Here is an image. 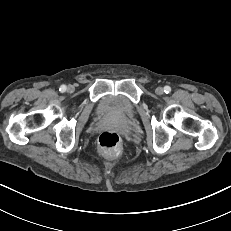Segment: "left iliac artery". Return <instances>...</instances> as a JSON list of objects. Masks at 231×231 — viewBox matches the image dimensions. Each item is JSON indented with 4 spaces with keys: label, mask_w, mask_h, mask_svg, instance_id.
Masks as SVG:
<instances>
[{
    "label": "left iliac artery",
    "mask_w": 231,
    "mask_h": 231,
    "mask_svg": "<svg viewBox=\"0 0 231 231\" xmlns=\"http://www.w3.org/2000/svg\"><path fill=\"white\" fill-rule=\"evenodd\" d=\"M164 92H165L166 94H169V93L171 92V87H170V86H165V87H164Z\"/></svg>",
    "instance_id": "1"
}]
</instances>
